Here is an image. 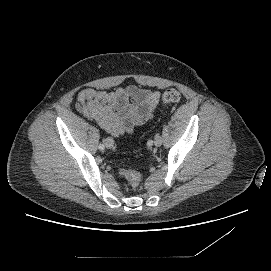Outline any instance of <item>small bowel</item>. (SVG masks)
I'll return each mask as SVG.
<instances>
[{
  "mask_svg": "<svg viewBox=\"0 0 271 271\" xmlns=\"http://www.w3.org/2000/svg\"><path fill=\"white\" fill-rule=\"evenodd\" d=\"M159 99L158 91L136 86L114 90L85 88L78 93L76 108L118 137L151 119Z\"/></svg>",
  "mask_w": 271,
  "mask_h": 271,
  "instance_id": "c3829d8e",
  "label": "small bowel"
}]
</instances>
